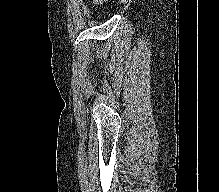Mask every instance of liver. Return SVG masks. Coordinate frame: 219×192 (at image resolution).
I'll use <instances>...</instances> for the list:
<instances>
[{"label":"liver","instance_id":"1","mask_svg":"<svg viewBox=\"0 0 219 192\" xmlns=\"http://www.w3.org/2000/svg\"><path fill=\"white\" fill-rule=\"evenodd\" d=\"M95 2L97 3V2H101V0H95Z\"/></svg>","mask_w":219,"mask_h":192}]
</instances>
